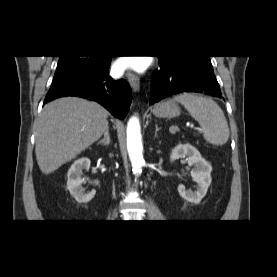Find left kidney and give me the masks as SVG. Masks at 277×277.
Masks as SVG:
<instances>
[{
    "instance_id": "left-kidney-1",
    "label": "left kidney",
    "mask_w": 277,
    "mask_h": 277,
    "mask_svg": "<svg viewBox=\"0 0 277 277\" xmlns=\"http://www.w3.org/2000/svg\"><path fill=\"white\" fill-rule=\"evenodd\" d=\"M184 157H187L186 160L190 166H194L191 176L193 181L197 183V191L187 190L184 185L180 184L178 192L188 202L198 204L206 195L208 187L211 184L212 166L202 158L199 151L191 144H178L172 149L170 154L172 161Z\"/></svg>"
}]
</instances>
